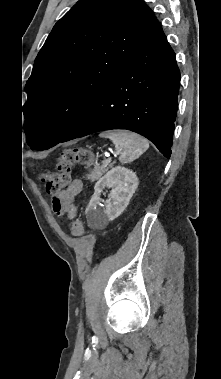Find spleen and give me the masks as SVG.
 <instances>
[{
  "label": "spleen",
  "mask_w": 221,
  "mask_h": 379,
  "mask_svg": "<svg viewBox=\"0 0 221 379\" xmlns=\"http://www.w3.org/2000/svg\"><path fill=\"white\" fill-rule=\"evenodd\" d=\"M100 137L108 138L120 153L119 161L122 164L133 162L139 158L148 148V141L142 136L128 131L117 130L100 134Z\"/></svg>",
  "instance_id": "1"
}]
</instances>
